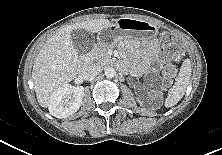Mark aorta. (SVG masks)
Masks as SVG:
<instances>
[{"label":"aorta","mask_w":222,"mask_h":155,"mask_svg":"<svg viewBox=\"0 0 222 155\" xmlns=\"http://www.w3.org/2000/svg\"><path fill=\"white\" fill-rule=\"evenodd\" d=\"M105 75L107 78H113L116 75V71L112 67L105 68Z\"/></svg>","instance_id":"aorta-1"}]
</instances>
